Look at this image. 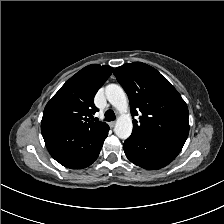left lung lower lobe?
Listing matches in <instances>:
<instances>
[{"instance_id": "0a47b994", "label": "left lung lower lobe", "mask_w": 224, "mask_h": 224, "mask_svg": "<svg viewBox=\"0 0 224 224\" xmlns=\"http://www.w3.org/2000/svg\"><path fill=\"white\" fill-rule=\"evenodd\" d=\"M184 144L161 137L132 132L124 142V152L134 164L145 169H160L173 161Z\"/></svg>"}]
</instances>
